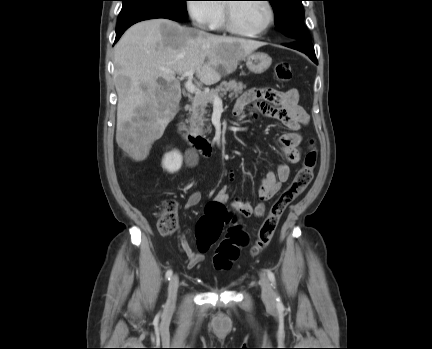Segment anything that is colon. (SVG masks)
Masks as SVG:
<instances>
[{"label": "colon", "instance_id": "colon-1", "mask_svg": "<svg viewBox=\"0 0 432 349\" xmlns=\"http://www.w3.org/2000/svg\"><path fill=\"white\" fill-rule=\"evenodd\" d=\"M278 80L287 82L292 78V68L288 62L280 61L274 67ZM317 163V150L311 142L304 156L303 163L298 169L294 179L286 187L276 201L272 204L265 220L260 226L255 242L251 247V255L257 256L271 242L280 219L287 207L302 194L311 183ZM232 214L223 204L211 202L206 214L196 225L197 245L201 252L207 251L219 238L223 223L230 221ZM178 227L177 205L173 200L164 203L158 220V228L164 235L172 234ZM247 242L245 233L237 228H231L226 237L218 244L213 264L218 270L229 269L240 254V248Z\"/></svg>", "mask_w": 432, "mask_h": 349}]
</instances>
